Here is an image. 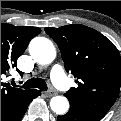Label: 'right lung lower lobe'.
I'll list each match as a JSON object with an SVG mask.
<instances>
[{"mask_svg":"<svg viewBox=\"0 0 121 121\" xmlns=\"http://www.w3.org/2000/svg\"><path fill=\"white\" fill-rule=\"evenodd\" d=\"M41 95L39 90L32 89L23 95L15 104H13L7 111L1 114V121H20L25 114L29 103Z\"/></svg>","mask_w":121,"mask_h":121,"instance_id":"98d812e1","label":"right lung lower lobe"}]
</instances>
